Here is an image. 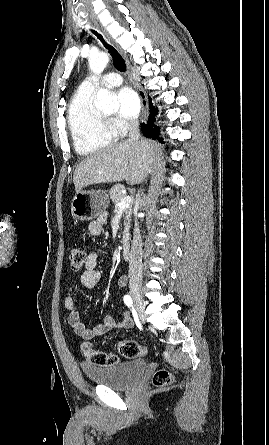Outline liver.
I'll return each mask as SVG.
<instances>
[{"mask_svg":"<svg viewBox=\"0 0 269 445\" xmlns=\"http://www.w3.org/2000/svg\"><path fill=\"white\" fill-rule=\"evenodd\" d=\"M152 146L147 141H122L110 145L81 161L73 182L76 193L84 187L126 180L128 184L142 181L151 157Z\"/></svg>","mask_w":269,"mask_h":445,"instance_id":"6515ba94","label":"liver"}]
</instances>
